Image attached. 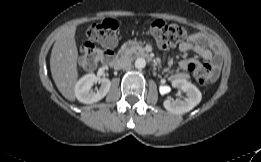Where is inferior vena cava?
<instances>
[{"label": "inferior vena cava", "instance_id": "obj_1", "mask_svg": "<svg viewBox=\"0 0 261 162\" xmlns=\"http://www.w3.org/2000/svg\"><path fill=\"white\" fill-rule=\"evenodd\" d=\"M131 66V60L127 58L119 59L115 64V69H128Z\"/></svg>", "mask_w": 261, "mask_h": 162}]
</instances>
